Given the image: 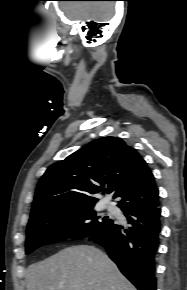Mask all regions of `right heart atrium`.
<instances>
[{
	"mask_svg": "<svg viewBox=\"0 0 187 290\" xmlns=\"http://www.w3.org/2000/svg\"><path fill=\"white\" fill-rule=\"evenodd\" d=\"M80 230V225L77 224V223H74V224H71L68 228V232L71 234V235H75L79 232Z\"/></svg>",
	"mask_w": 187,
	"mask_h": 290,
	"instance_id": "right-heart-atrium-1",
	"label": "right heart atrium"
}]
</instances>
